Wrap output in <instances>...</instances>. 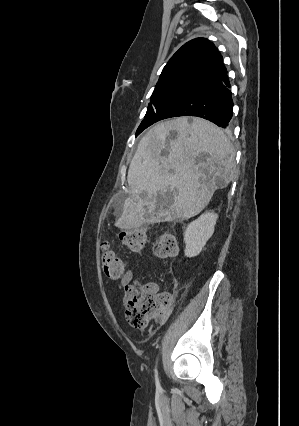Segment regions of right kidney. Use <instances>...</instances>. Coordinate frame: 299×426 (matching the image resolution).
Wrapping results in <instances>:
<instances>
[{"mask_svg":"<svg viewBox=\"0 0 299 426\" xmlns=\"http://www.w3.org/2000/svg\"><path fill=\"white\" fill-rule=\"evenodd\" d=\"M218 215L206 212L186 227L184 232L185 256L195 257L200 254L207 241L214 233Z\"/></svg>","mask_w":299,"mask_h":426,"instance_id":"ca27d5eb","label":"right kidney"}]
</instances>
